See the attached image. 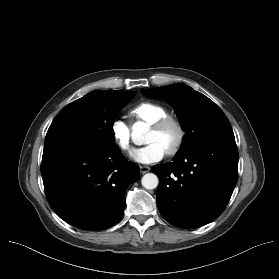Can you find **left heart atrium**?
<instances>
[{"label": "left heart atrium", "instance_id": "left-heart-atrium-1", "mask_svg": "<svg viewBox=\"0 0 279 279\" xmlns=\"http://www.w3.org/2000/svg\"><path fill=\"white\" fill-rule=\"evenodd\" d=\"M165 154L166 150L161 145L156 142H151L134 151L132 156L136 161L148 164L161 160Z\"/></svg>", "mask_w": 279, "mask_h": 279}]
</instances>
